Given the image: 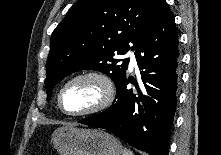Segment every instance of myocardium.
Instances as JSON below:
<instances>
[{"label":"myocardium","mask_w":221,"mask_h":155,"mask_svg":"<svg viewBox=\"0 0 221 155\" xmlns=\"http://www.w3.org/2000/svg\"><path fill=\"white\" fill-rule=\"evenodd\" d=\"M83 80L95 81L101 88V97L99 101L89 109H86L80 112L68 111L64 107L63 102H62L63 93L66 90V88L70 86L71 84L78 82V81H83ZM114 97H115V88L110 77L103 72L90 70V71L80 72L70 77L60 88L58 92V96H57V103H58L59 109L64 114L68 116H72V117H83V116L94 115V114L104 111L112 104Z\"/></svg>","instance_id":"obj_1"}]
</instances>
